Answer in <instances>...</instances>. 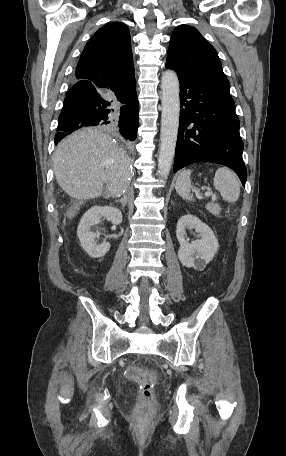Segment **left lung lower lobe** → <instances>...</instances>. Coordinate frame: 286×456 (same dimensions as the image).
Returning a JSON list of instances; mask_svg holds the SVG:
<instances>
[{
    "instance_id": "obj_1",
    "label": "left lung lower lobe",
    "mask_w": 286,
    "mask_h": 456,
    "mask_svg": "<svg viewBox=\"0 0 286 456\" xmlns=\"http://www.w3.org/2000/svg\"><path fill=\"white\" fill-rule=\"evenodd\" d=\"M177 74L182 109L174 173L192 163L213 162L234 170L245 187L247 171L234 100L204 81Z\"/></svg>"
}]
</instances>
